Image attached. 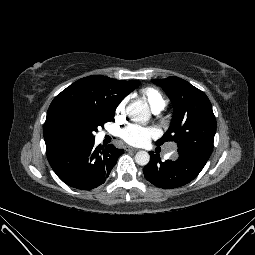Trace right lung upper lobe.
I'll return each mask as SVG.
<instances>
[{
    "instance_id": "cb5924a9",
    "label": "right lung upper lobe",
    "mask_w": 255,
    "mask_h": 255,
    "mask_svg": "<svg viewBox=\"0 0 255 255\" xmlns=\"http://www.w3.org/2000/svg\"><path fill=\"white\" fill-rule=\"evenodd\" d=\"M134 81H119L106 76L82 78L60 94L49 106L43 128L46 150L77 141L76 125L90 109L115 110L134 88Z\"/></svg>"
}]
</instances>
